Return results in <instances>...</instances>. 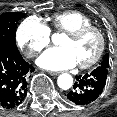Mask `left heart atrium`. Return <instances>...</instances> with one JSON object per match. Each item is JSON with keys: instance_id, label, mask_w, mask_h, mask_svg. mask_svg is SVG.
Returning a JSON list of instances; mask_svg holds the SVG:
<instances>
[{"instance_id": "left-heart-atrium-1", "label": "left heart atrium", "mask_w": 117, "mask_h": 117, "mask_svg": "<svg viewBox=\"0 0 117 117\" xmlns=\"http://www.w3.org/2000/svg\"><path fill=\"white\" fill-rule=\"evenodd\" d=\"M37 64L48 70H63L76 66L77 60L69 48L62 46L45 51L37 59Z\"/></svg>"}]
</instances>
